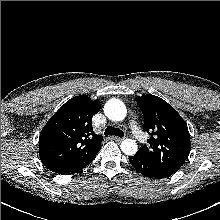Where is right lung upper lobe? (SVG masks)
Listing matches in <instances>:
<instances>
[{"mask_svg": "<svg viewBox=\"0 0 220 220\" xmlns=\"http://www.w3.org/2000/svg\"><path fill=\"white\" fill-rule=\"evenodd\" d=\"M100 110L99 100L76 96L51 117L39 137L41 162L56 171L91 156L101 148L102 135H96L92 117Z\"/></svg>", "mask_w": 220, "mask_h": 220, "instance_id": "1", "label": "right lung upper lobe"}]
</instances>
